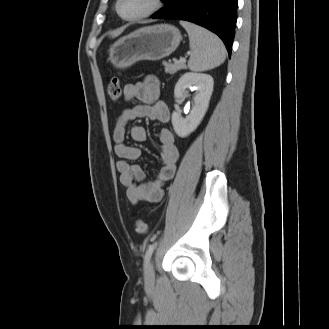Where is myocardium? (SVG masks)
Returning <instances> with one entry per match:
<instances>
[{
    "instance_id": "obj_1",
    "label": "myocardium",
    "mask_w": 329,
    "mask_h": 329,
    "mask_svg": "<svg viewBox=\"0 0 329 329\" xmlns=\"http://www.w3.org/2000/svg\"><path fill=\"white\" fill-rule=\"evenodd\" d=\"M121 2H122V0L116 1L115 10L120 18L127 20V21H135V20H139V19L151 16L152 14L156 13L162 6V0H151L150 6L145 11H143L137 15H133V16H124L121 14V12L119 10Z\"/></svg>"
}]
</instances>
